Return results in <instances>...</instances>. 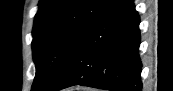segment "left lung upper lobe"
<instances>
[{
  "mask_svg": "<svg viewBox=\"0 0 173 91\" xmlns=\"http://www.w3.org/2000/svg\"><path fill=\"white\" fill-rule=\"evenodd\" d=\"M114 0H40L33 27L36 75L31 91H50Z\"/></svg>",
  "mask_w": 173,
  "mask_h": 91,
  "instance_id": "5c2ea615",
  "label": "left lung upper lobe"
}]
</instances>
